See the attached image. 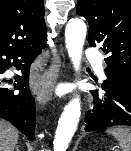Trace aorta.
Instances as JSON below:
<instances>
[{"label":"aorta","mask_w":131,"mask_h":151,"mask_svg":"<svg viewBox=\"0 0 131 151\" xmlns=\"http://www.w3.org/2000/svg\"><path fill=\"white\" fill-rule=\"evenodd\" d=\"M86 25L80 19L69 20L65 29V43L68 55L76 70L80 68ZM81 115L80 98L76 96L65 107L58 121L53 141L54 151H66L77 129Z\"/></svg>","instance_id":"obj_1"}]
</instances>
